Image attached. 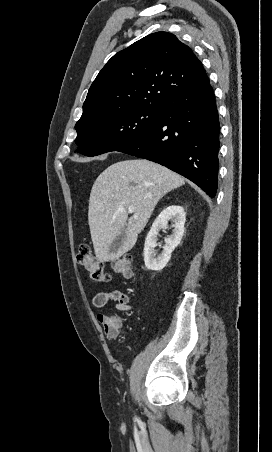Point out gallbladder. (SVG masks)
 Segmentation results:
<instances>
[{
    "instance_id": "obj_1",
    "label": "gallbladder",
    "mask_w": 272,
    "mask_h": 452,
    "mask_svg": "<svg viewBox=\"0 0 272 452\" xmlns=\"http://www.w3.org/2000/svg\"><path fill=\"white\" fill-rule=\"evenodd\" d=\"M126 232H127V227L125 226L122 230V233L115 237V239L110 247V251L116 252L122 247L124 240L126 238Z\"/></svg>"
}]
</instances>
